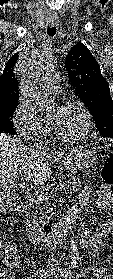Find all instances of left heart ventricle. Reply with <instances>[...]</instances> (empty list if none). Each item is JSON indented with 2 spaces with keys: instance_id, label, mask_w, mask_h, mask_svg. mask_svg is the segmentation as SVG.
Wrapping results in <instances>:
<instances>
[{
  "instance_id": "obj_1",
  "label": "left heart ventricle",
  "mask_w": 113,
  "mask_h": 279,
  "mask_svg": "<svg viewBox=\"0 0 113 279\" xmlns=\"http://www.w3.org/2000/svg\"><path fill=\"white\" fill-rule=\"evenodd\" d=\"M46 122L63 136L79 135L85 128V119L82 112L75 106L50 109Z\"/></svg>"
}]
</instances>
